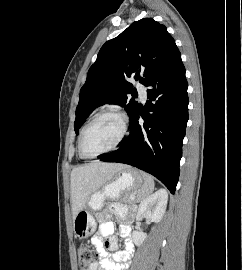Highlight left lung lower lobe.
Here are the masks:
<instances>
[{
    "label": "left lung lower lobe",
    "mask_w": 242,
    "mask_h": 270,
    "mask_svg": "<svg viewBox=\"0 0 242 270\" xmlns=\"http://www.w3.org/2000/svg\"><path fill=\"white\" fill-rule=\"evenodd\" d=\"M145 86L147 100L130 120L122 146L98 158L137 167L158 178L174 194L179 178L182 141L188 121V83L181 55L162 68ZM139 115L144 124L139 125Z\"/></svg>",
    "instance_id": "0a47b994"
}]
</instances>
